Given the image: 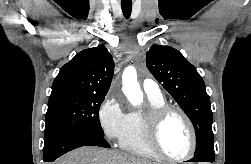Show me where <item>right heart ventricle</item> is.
Here are the masks:
<instances>
[{
    "instance_id": "e07e8e85",
    "label": "right heart ventricle",
    "mask_w": 251,
    "mask_h": 164,
    "mask_svg": "<svg viewBox=\"0 0 251 164\" xmlns=\"http://www.w3.org/2000/svg\"><path fill=\"white\" fill-rule=\"evenodd\" d=\"M163 105H166V101L162 95L148 96L149 109ZM119 144L120 148L129 154L153 160L160 159L148 143L145 113L143 112L128 113L127 125Z\"/></svg>"
}]
</instances>
